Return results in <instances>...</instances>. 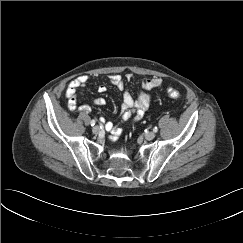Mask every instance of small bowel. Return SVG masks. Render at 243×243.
<instances>
[{
	"instance_id": "small-bowel-1",
	"label": "small bowel",
	"mask_w": 243,
	"mask_h": 243,
	"mask_svg": "<svg viewBox=\"0 0 243 243\" xmlns=\"http://www.w3.org/2000/svg\"><path fill=\"white\" fill-rule=\"evenodd\" d=\"M130 75H127V79H130ZM88 75H81L75 79H72L66 90V95L68 98L69 107L72 110L77 108V91L86 87L89 81ZM110 82L120 91H124L123 102L120 109V121H125L133 115V122L140 121L146 109L148 108L151 102V94L147 91L158 89L162 86V80L157 77L146 78L141 81L142 91L139 92L138 96L134 98L127 90H125V82L120 75H110ZM107 90L106 86L101 84L98 86V92L104 93ZM105 99L98 97L94 99V104L102 106L105 104ZM79 111H89L87 105H82L79 107ZM105 128L111 134L112 140H117L123 133L122 128L118 123L107 122Z\"/></svg>"
}]
</instances>
